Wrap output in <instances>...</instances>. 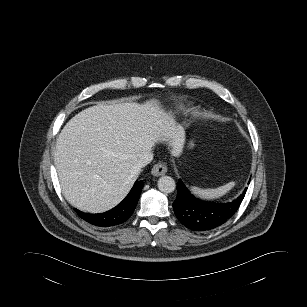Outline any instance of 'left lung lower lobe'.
I'll use <instances>...</instances> for the list:
<instances>
[{
  "mask_svg": "<svg viewBox=\"0 0 307 307\" xmlns=\"http://www.w3.org/2000/svg\"><path fill=\"white\" fill-rule=\"evenodd\" d=\"M246 191L247 188L233 201L212 203L195 198L182 181L178 180L177 197L173 202V209L184 226L194 231H206L222 225L231 218L238 210Z\"/></svg>",
  "mask_w": 307,
  "mask_h": 307,
  "instance_id": "0a47b994",
  "label": "left lung lower lobe"
}]
</instances>
